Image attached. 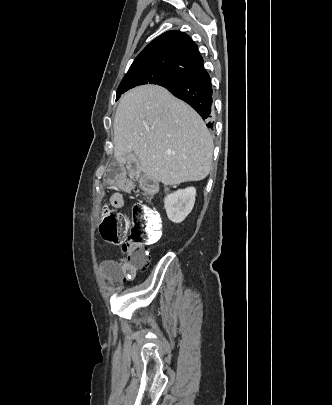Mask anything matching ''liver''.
<instances>
[{"label":"liver","instance_id":"liver-1","mask_svg":"<svg viewBox=\"0 0 332 405\" xmlns=\"http://www.w3.org/2000/svg\"><path fill=\"white\" fill-rule=\"evenodd\" d=\"M213 140L198 113L165 88L127 91L114 118V156L140 161L147 176L164 185L203 180L211 171Z\"/></svg>","mask_w":332,"mask_h":405}]
</instances>
